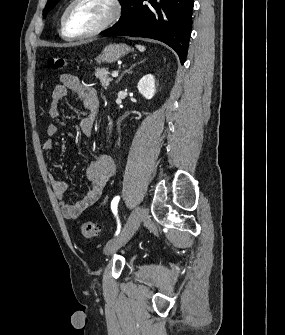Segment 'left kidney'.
Wrapping results in <instances>:
<instances>
[{"label":"left kidney","instance_id":"1","mask_svg":"<svg viewBox=\"0 0 285 335\" xmlns=\"http://www.w3.org/2000/svg\"><path fill=\"white\" fill-rule=\"evenodd\" d=\"M140 94L146 98V100H151L155 94V78L152 74H147L143 76L138 82L137 86Z\"/></svg>","mask_w":285,"mask_h":335}]
</instances>
